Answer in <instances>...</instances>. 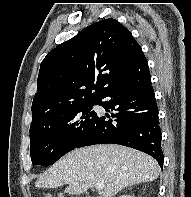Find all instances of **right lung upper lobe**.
Wrapping results in <instances>:
<instances>
[{"mask_svg": "<svg viewBox=\"0 0 191 197\" xmlns=\"http://www.w3.org/2000/svg\"><path fill=\"white\" fill-rule=\"evenodd\" d=\"M147 65L140 45L117 20L86 27L42 61L30 129L73 106L98 100L107 88Z\"/></svg>", "mask_w": 191, "mask_h": 197, "instance_id": "obj_1", "label": "right lung upper lobe"}]
</instances>
